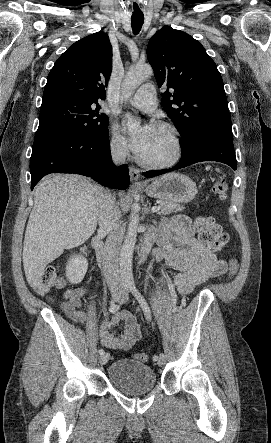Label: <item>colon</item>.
Here are the masks:
<instances>
[{
  "label": "colon",
  "mask_w": 271,
  "mask_h": 443,
  "mask_svg": "<svg viewBox=\"0 0 271 443\" xmlns=\"http://www.w3.org/2000/svg\"><path fill=\"white\" fill-rule=\"evenodd\" d=\"M213 193L221 200L227 198V184L224 180H218L213 185ZM194 230L199 241L213 253L221 252L228 243V235L222 227L215 222L212 217L198 216L194 221ZM238 271V262L235 259L229 261L228 275L234 277ZM64 281L57 276L56 268L46 267L35 283V291L40 295L49 293L54 287L61 288ZM135 359L140 362H147L148 356L145 353H137Z\"/></svg>",
  "instance_id": "5ec220e1"
}]
</instances>
